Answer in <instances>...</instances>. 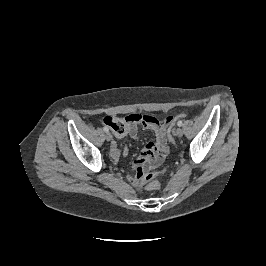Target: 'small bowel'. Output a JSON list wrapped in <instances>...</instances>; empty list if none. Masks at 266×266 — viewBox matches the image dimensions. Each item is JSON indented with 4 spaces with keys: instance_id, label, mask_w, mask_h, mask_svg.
<instances>
[{
    "instance_id": "small-bowel-1",
    "label": "small bowel",
    "mask_w": 266,
    "mask_h": 266,
    "mask_svg": "<svg viewBox=\"0 0 266 266\" xmlns=\"http://www.w3.org/2000/svg\"><path fill=\"white\" fill-rule=\"evenodd\" d=\"M176 117L169 115L163 119L144 114H130L126 117H105L104 123L108 125L117 137L130 135L137 138V125H143L155 132L156 142H147L140 152L138 159L135 161L134 174L128 175V180L136 185H140L143 174L159 166L168 153L166 130L174 124ZM116 156L118 150L113 149ZM127 149H124V155Z\"/></svg>"
}]
</instances>
